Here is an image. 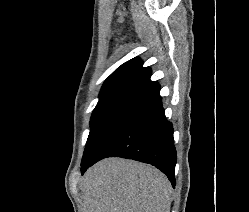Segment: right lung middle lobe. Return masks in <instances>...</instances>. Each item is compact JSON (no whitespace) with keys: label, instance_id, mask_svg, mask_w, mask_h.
I'll return each instance as SVG.
<instances>
[{"label":"right lung middle lobe","instance_id":"1","mask_svg":"<svg viewBox=\"0 0 249 212\" xmlns=\"http://www.w3.org/2000/svg\"><path fill=\"white\" fill-rule=\"evenodd\" d=\"M137 96L132 94H111L102 96L92 113L90 133L82 157L83 164L110 124Z\"/></svg>","mask_w":249,"mask_h":212}]
</instances>
